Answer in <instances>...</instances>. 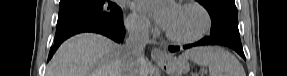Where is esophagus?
I'll list each match as a JSON object with an SVG mask.
<instances>
[{
	"label": "esophagus",
	"instance_id": "obj_1",
	"mask_svg": "<svg viewBox=\"0 0 287 76\" xmlns=\"http://www.w3.org/2000/svg\"><path fill=\"white\" fill-rule=\"evenodd\" d=\"M151 57L157 62L164 61L168 58V54L160 48H153L151 51Z\"/></svg>",
	"mask_w": 287,
	"mask_h": 76
}]
</instances>
